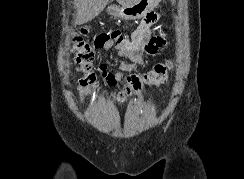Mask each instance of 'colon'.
<instances>
[{"instance_id":"obj_1","label":"colon","mask_w":244,"mask_h":179,"mask_svg":"<svg viewBox=\"0 0 244 179\" xmlns=\"http://www.w3.org/2000/svg\"><path fill=\"white\" fill-rule=\"evenodd\" d=\"M89 33V28L83 26L73 30L71 34V52L75 55V68L82 74L80 83L83 87L90 88L92 93H99L101 87L97 82L94 68L93 52L90 46L83 40V36ZM173 68L169 60L155 64L143 74H133L128 79L127 85L114 92L117 102L123 103L130 99L133 94H138L144 87L164 85L168 82V72Z\"/></svg>"}]
</instances>
